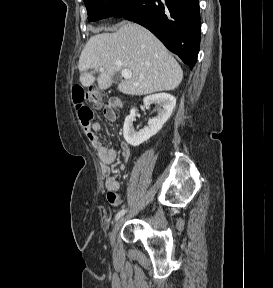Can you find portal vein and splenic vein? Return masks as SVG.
<instances>
[{"label": "portal vein and splenic vein", "instance_id": "obj_1", "mask_svg": "<svg viewBox=\"0 0 273 288\" xmlns=\"http://www.w3.org/2000/svg\"><path fill=\"white\" fill-rule=\"evenodd\" d=\"M103 68H100V71H103ZM121 75L122 77H124L125 79H130L132 77V73L130 70L128 69H122L121 71Z\"/></svg>", "mask_w": 273, "mask_h": 288}]
</instances>
